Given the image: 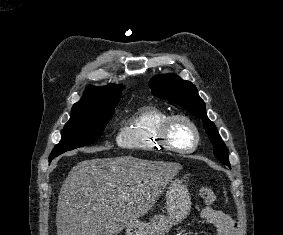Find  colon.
Here are the masks:
<instances>
[{"mask_svg":"<svg viewBox=\"0 0 283 235\" xmlns=\"http://www.w3.org/2000/svg\"><path fill=\"white\" fill-rule=\"evenodd\" d=\"M200 197L207 204H213L216 201V195L213 189L209 186H203L200 189Z\"/></svg>","mask_w":283,"mask_h":235,"instance_id":"colon-1","label":"colon"}]
</instances>
